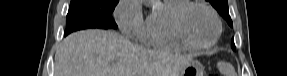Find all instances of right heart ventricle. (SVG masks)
<instances>
[{"mask_svg": "<svg viewBox=\"0 0 287 76\" xmlns=\"http://www.w3.org/2000/svg\"><path fill=\"white\" fill-rule=\"evenodd\" d=\"M187 0H162L146 20L139 40L146 46L163 51H184L188 47L176 36L173 29L175 11Z\"/></svg>", "mask_w": 287, "mask_h": 76, "instance_id": "1", "label": "right heart ventricle"}]
</instances>
